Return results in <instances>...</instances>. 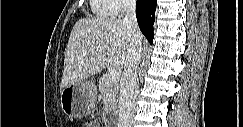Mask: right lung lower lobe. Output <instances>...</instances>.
Here are the masks:
<instances>
[{"label": "right lung lower lobe", "mask_w": 243, "mask_h": 127, "mask_svg": "<svg viewBox=\"0 0 243 127\" xmlns=\"http://www.w3.org/2000/svg\"><path fill=\"white\" fill-rule=\"evenodd\" d=\"M157 0H137L136 16L141 32L153 43V24Z\"/></svg>", "instance_id": "1"}]
</instances>
